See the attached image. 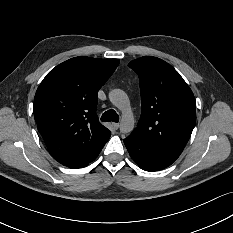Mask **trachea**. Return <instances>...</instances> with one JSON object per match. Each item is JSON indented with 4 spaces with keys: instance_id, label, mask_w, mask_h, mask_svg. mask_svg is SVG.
Masks as SVG:
<instances>
[{
    "instance_id": "1",
    "label": "trachea",
    "mask_w": 233,
    "mask_h": 233,
    "mask_svg": "<svg viewBox=\"0 0 233 233\" xmlns=\"http://www.w3.org/2000/svg\"><path fill=\"white\" fill-rule=\"evenodd\" d=\"M101 121L102 122H111V121L118 122L119 116L113 109H110L102 114Z\"/></svg>"
}]
</instances>
